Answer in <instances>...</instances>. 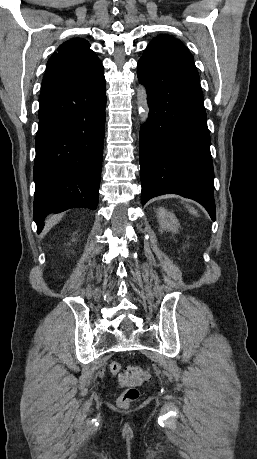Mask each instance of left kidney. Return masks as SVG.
<instances>
[{
  "instance_id": "5707ae66",
  "label": "left kidney",
  "mask_w": 257,
  "mask_h": 459,
  "mask_svg": "<svg viewBox=\"0 0 257 459\" xmlns=\"http://www.w3.org/2000/svg\"><path fill=\"white\" fill-rule=\"evenodd\" d=\"M158 222L160 225L161 230L169 231L176 233L178 228L180 227L179 221L176 216L165 210L164 208L160 207L156 211Z\"/></svg>"
}]
</instances>
